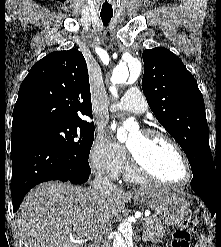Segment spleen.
Returning a JSON list of instances; mask_svg holds the SVG:
<instances>
[{
    "mask_svg": "<svg viewBox=\"0 0 221 247\" xmlns=\"http://www.w3.org/2000/svg\"><path fill=\"white\" fill-rule=\"evenodd\" d=\"M200 244H202V243H200ZM196 247H198V246H196ZM200 247H205V246H201V245H200Z\"/></svg>",
    "mask_w": 221,
    "mask_h": 247,
    "instance_id": "3e777b00",
    "label": "spleen"
}]
</instances>
